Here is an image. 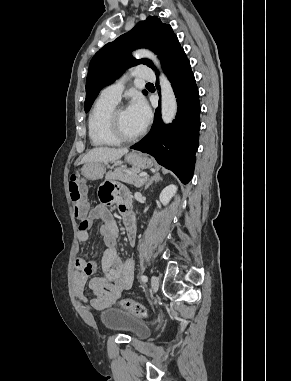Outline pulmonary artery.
I'll list each match as a JSON object with an SVG mask.
<instances>
[{"instance_id":"pulmonary-artery-1","label":"pulmonary artery","mask_w":291,"mask_h":381,"mask_svg":"<svg viewBox=\"0 0 291 381\" xmlns=\"http://www.w3.org/2000/svg\"><path fill=\"white\" fill-rule=\"evenodd\" d=\"M135 75L137 78L145 81H155V74L149 66L140 65L135 69ZM124 89V81L119 80L112 85L104 88L101 92V96L104 98L119 101L122 91Z\"/></svg>"}]
</instances>
